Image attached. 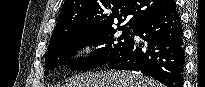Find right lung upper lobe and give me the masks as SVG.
I'll use <instances>...</instances> for the list:
<instances>
[{
  "label": "right lung upper lobe",
  "instance_id": "obj_1",
  "mask_svg": "<svg viewBox=\"0 0 205 87\" xmlns=\"http://www.w3.org/2000/svg\"><path fill=\"white\" fill-rule=\"evenodd\" d=\"M173 0H65L50 43L73 33L113 28L134 29L149 16L169 6ZM128 15L131 19L119 26Z\"/></svg>",
  "mask_w": 205,
  "mask_h": 87
}]
</instances>
